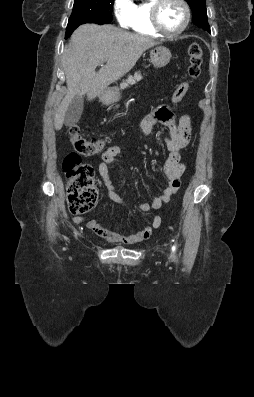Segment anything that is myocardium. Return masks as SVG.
<instances>
[{
  "label": "myocardium",
  "instance_id": "1",
  "mask_svg": "<svg viewBox=\"0 0 254 397\" xmlns=\"http://www.w3.org/2000/svg\"><path fill=\"white\" fill-rule=\"evenodd\" d=\"M165 2H166V0H153V2L151 4V9H150L151 24H152L154 30L158 34L165 36V37H169V38L177 37L180 34H182L189 25L190 17H191L190 7L185 0H177V2H179L184 9V20H183L181 27L178 30L170 32V31L165 30L162 27L161 22H160V9Z\"/></svg>",
  "mask_w": 254,
  "mask_h": 397
}]
</instances>
